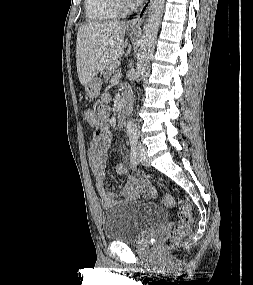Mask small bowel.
Returning a JSON list of instances; mask_svg holds the SVG:
<instances>
[{"instance_id": "c3829d8e", "label": "small bowel", "mask_w": 253, "mask_h": 285, "mask_svg": "<svg viewBox=\"0 0 253 285\" xmlns=\"http://www.w3.org/2000/svg\"><path fill=\"white\" fill-rule=\"evenodd\" d=\"M107 100V97L104 98ZM97 113L101 119L100 125L93 132L88 149V159L92 174L94 176L97 189L102 194V206L108 208L119 201H136L141 197L153 199L157 196L155 187L145 178L128 177V180L121 189V196L118 198L113 193H105V174L107 154L110 146L106 121L110 114V109L106 104L98 107ZM119 176L128 175V169L124 164L117 167Z\"/></svg>"}]
</instances>
